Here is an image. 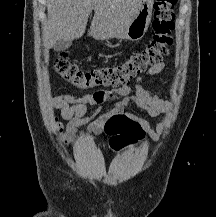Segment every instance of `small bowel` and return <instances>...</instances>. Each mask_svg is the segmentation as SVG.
<instances>
[{
	"label": "small bowel",
	"instance_id": "obj_1",
	"mask_svg": "<svg viewBox=\"0 0 216 217\" xmlns=\"http://www.w3.org/2000/svg\"><path fill=\"white\" fill-rule=\"evenodd\" d=\"M165 67L166 63L162 61L151 66L143 76L137 78L134 87L123 86L109 90H97L83 97H78L75 94L53 97V108L60 110L62 118L68 121L64 135L65 139L72 141L77 127L80 125H87L89 135H99L106 130V126L110 121L125 116L134 121L143 131V134H147L153 141H160L167 126L166 120L153 128L148 121L127 112L126 109L130 103H134L151 117H157L170 109L169 102L151 93L144 85L146 76L158 74ZM111 101L115 102L113 108L103 112L104 105ZM88 106H93L95 109L90 116L86 117Z\"/></svg>",
	"mask_w": 216,
	"mask_h": 217
}]
</instances>
